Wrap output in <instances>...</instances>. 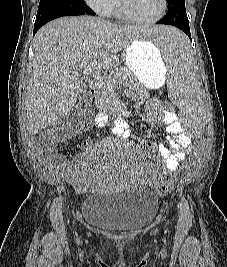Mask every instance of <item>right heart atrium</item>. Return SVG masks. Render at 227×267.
<instances>
[{"instance_id": "1", "label": "right heart atrium", "mask_w": 227, "mask_h": 267, "mask_svg": "<svg viewBox=\"0 0 227 267\" xmlns=\"http://www.w3.org/2000/svg\"><path fill=\"white\" fill-rule=\"evenodd\" d=\"M85 3L101 16H108L113 11L116 0H85Z\"/></svg>"}]
</instances>
